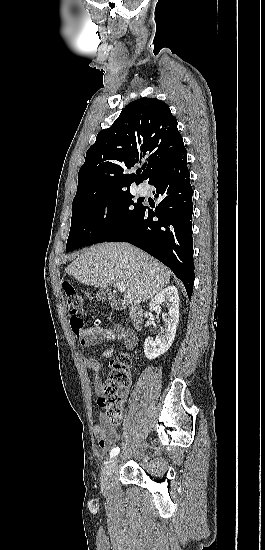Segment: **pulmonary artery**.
Returning a JSON list of instances; mask_svg holds the SVG:
<instances>
[{
  "mask_svg": "<svg viewBox=\"0 0 265 550\" xmlns=\"http://www.w3.org/2000/svg\"><path fill=\"white\" fill-rule=\"evenodd\" d=\"M137 192L141 195L145 194L147 192V188L145 185L141 184L137 187Z\"/></svg>",
  "mask_w": 265,
  "mask_h": 550,
  "instance_id": "pulmonary-artery-1",
  "label": "pulmonary artery"
}]
</instances>
